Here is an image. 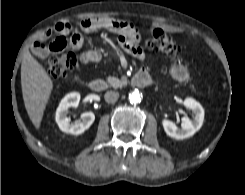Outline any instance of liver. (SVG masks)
Segmentation results:
<instances>
[{"label": "liver", "instance_id": "6515ba94", "mask_svg": "<svg viewBox=\"0 0 245 195\" xmlns=\"http://www.w3.org/2000/svg\"><path fill=\"white\" fill-rule=\"evenodd\" d=\"M21 87L28 116L35 128L39 129L53 89V81L30 52H26L22 60Z\"/></svg>", "mask_w": 245, "mask_h": 195}]
</instances>
